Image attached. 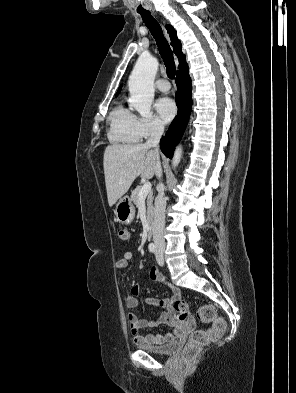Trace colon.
<instances>
[{
  "label": "colon",
  "instance_id": "obj_1",
  "mask_svg": "<svg viewBox=\"0 0 296 393\" xmlns=\"http://www.w3.org/2000/svg\"><path fill=\"white\" fill-rule=\"evenodd\" d=\"M115 235L120 240H127L129 238L128 231L123 227L115 229ZM173 313L177 320L185 321L189 319V311L187 304L182 299H177L173 305ZM199 320L206 323H211V328L207 330L194 331L183 349V358L191 360L196 357L199 351L205 347L209 341L218 338L225 330L226 322L218 315L217 309L212 304L201 306L197 311Z\"/></svg>",
  "mask_w": 296,
  "mask_h": 393
}]
</instances>
